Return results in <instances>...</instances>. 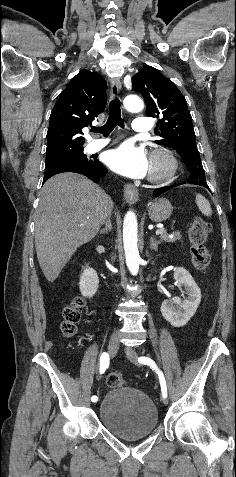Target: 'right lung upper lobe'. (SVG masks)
Returning <instances> with one entry per match:
<instances>
[{
	"mask_svg": "<svg viewBox=\"0 0 236 477\" xmlns=\"http://www.w3.org/2000/svg\"><path fill=\"white\" fill-rule=\"evenodd\" d=\"M106 81L82 70L60 94L50 115L45 163H53L83 151L82 129L105 109Z\"/></svg>",
	"mask_w": 236,
	"mask_h": 477,
	"instance_id": "1",
	"label": "right lung upper lobe"
}]
</instances>
